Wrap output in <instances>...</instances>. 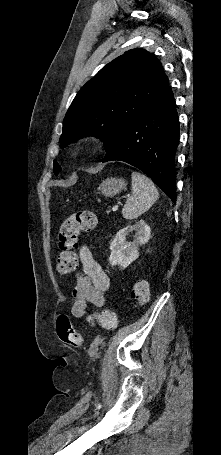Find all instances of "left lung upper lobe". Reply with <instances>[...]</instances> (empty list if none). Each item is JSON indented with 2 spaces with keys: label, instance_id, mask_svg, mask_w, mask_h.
<instances>
[{
  "label": "left lung upper lobe",
  "instance_id": "1",
  "mask_svg": "<svg viewBox=\"0 0 221 455\" xmlns=\"http://www.w3.org/2000/svg\"><path fill=\"white\" fill-rule=\"evenodd\" d=\"M168 86L160 61L132 49L105 65L77 93L63 121L61 148L85 135L104 141L108 151L125 128ZM61 167L54 161V173Z\"/></svg>",
  "mask_w": 221,
  "mask_h": 455
}]
</instances>
